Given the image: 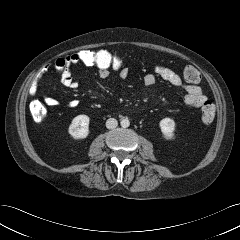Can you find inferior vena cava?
Instances as JSON below:
<instances>
[{"instance_id": "inferior-vena-cava-1", "label": "inferior vena cava", "mask_w": 240, "mask_h": 240, "mask_svg": "<svg viewBox=\"0 0 240 240\" xmlns=\"http://www.w3.org/2000/svg\"><path fill=\"white\" fill-rule=\"evenodd\" d=\"M118 125V121L114 118H110L106 121V127L108 129H113V128H116Z\"/></svg>"}]
</instances>
